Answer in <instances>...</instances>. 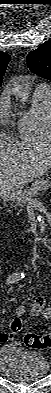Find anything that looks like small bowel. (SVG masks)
I'll list each match as a JSON object with an SVG mask.
<instances>
[{
    "label": "small bowel",
    "instance_id": "c3829d8e",
    "mask_svg": "<svg viewBox=\"0 0 51 393\" xmlns=\"http://www.w3.org/2000/svg\"><path fill=\"white\" fill-rule=\"evenodd\" d=\"M11 292H12V288H9L8 289V294H10ZM39 302L42 304L40 309L35 306L36 303H39ZM25 313H26V307L23 306V305H19L15 309V315L17 317H22ZM30 313L32 315H40V314H42L45 318H48V317H50L51 310L49 308L45 307V300H44L43 297L36 296L34 298V300H33L32 305H31ZM10 338H11L10 334H3V335H1L0 339H1L2 342H7ZM13 345H15V344H13Z\"/></svg>",
    "mask_w": 51,
    "mask_h": 393
}]
</instances>
